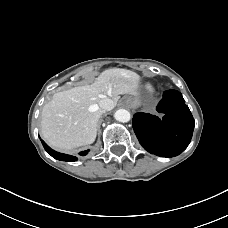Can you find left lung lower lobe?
I'll list each match as a JSON object with an SVG mask.
<instances>
[{
	"mask_svg": "<svg viewBox=\"0 0 228 228\" xmlns=\"http://www.w3.org/2000/svg\"><path fill=\"white\" fill-rule=\"evenodd\" d=\"M162 119L149 113L133 116V129L142 147L151 154L173 157L181 154L191 141L194 119L182 94L167 90L157 106Z\"/></svg>",
	"mask_w": 228,
	"mask_h": 228,
	"instance_id": "obj_1",
	"label": "left lung lower lobe"
}]
</instances>
